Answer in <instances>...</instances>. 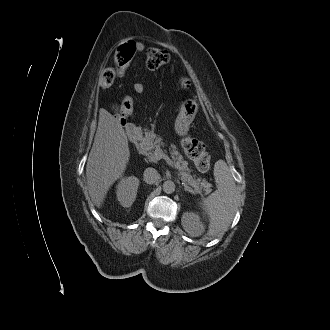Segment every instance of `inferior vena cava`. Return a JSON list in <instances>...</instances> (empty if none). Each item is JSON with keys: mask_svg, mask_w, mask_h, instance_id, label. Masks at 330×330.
Returning <instances> with one entry per match:
<instances>
[{"mask_svg": "<svg viewBox=\"0 0 330 330\" xmlns=\"http://www.w3.org/2000/svg\"><path fill=\"white\" fill-rule=\"evenodd\" d=\"M160 178L159 173L154 168H146V170L143 173V179L148 184L155 183Z\"/></svg>", "mask_w": 330, "mask_h": 330, "instance_id": "1", "label": "inferior vena cava"}]
</instances>
